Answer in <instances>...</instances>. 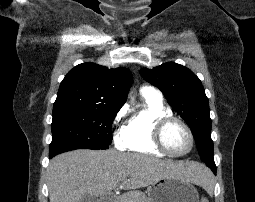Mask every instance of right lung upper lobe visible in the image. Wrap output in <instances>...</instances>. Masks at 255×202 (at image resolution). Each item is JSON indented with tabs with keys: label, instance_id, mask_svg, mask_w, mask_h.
<instances>
[{
	"label": "right lung upper lobe",
	"instance_id": "obj_1",
	"mask_svg": "<svg viewBox=\"0 0 255 202\" xmlns=\"http://www.w3.org/2000/svg\"><path fill=\"white\" fill-rule=\"evenodd\" d=\"M132 81V73L124 67L79 64L61 82L53 115L80 109H120Z\"/></svg>",
	"mask_w": 255,
	"mask_h": 202
}]
</instances>
